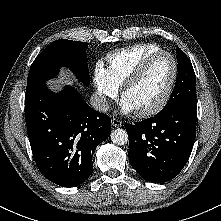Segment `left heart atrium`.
Returning a JSON list of instances; mask_svg holds the SVG:
<instances>
[{
	"label": "left heart atrium",
	"mask_w": 221,
	"mask_h": 221,
	"mask_svg": "<svg viewBox=\"0 0 221 221\" xmlns=\"http://www.w3.org/2000/svg\"><path fill=\"white\" fill-rule=\"evenodd\" d=\"M121 111L124 114H128L135 111V108L126 99L123 98L121 102Z\"/></svg>",
	"instance_id": "obj_1"
}]
</instances>
